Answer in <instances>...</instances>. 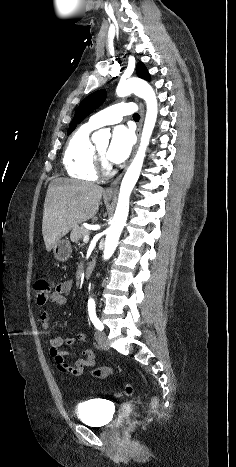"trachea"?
Wrapping results in <instances>:
<instances>
[{"mask_svg": "<svg viewBox=\"0 0 236 467\" xmlns=\"http://www.w3.org/2000/svg\"><path fill=\"white\" fill-rule=\"evenodd\" d=\"M133 119H134L135 121H139L140 115H139L138 113H135V114L133 115Z\"/></svg>", "mask_w": 236, "mask_h": 467, "instance_id": "1", "label": "trachea"}]
</instances>
